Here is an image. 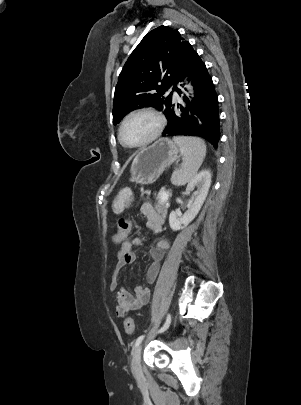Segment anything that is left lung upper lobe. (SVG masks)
<instances>
[{"mask_svg":"<svg viewBox=\"0 0 301 405\" xmlns=\"http://www.w3.org/2000/svg\"><path fill=\"white\" fill-rule=\"evenodd\" d=\"M195 50L182 35L167 26L147 33L125 63L115 88L113 124L134 109L154 107L166 113L171 96L164 94L182 78Z\"/></svg>","mask_w":301,"mask_h":405,"instance_id":"1","label":"left lung upper lobe"}]
</instances>
